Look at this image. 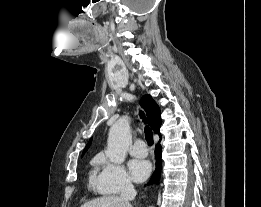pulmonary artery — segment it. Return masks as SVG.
Instances as JSON below:
<instances>
[{
	"label": "pulmonary artery",
	"instance_id": "1",
	"mask_svg": "<svg viewBox=\"0 0 261 207\" xmlns=\"http://www.w3.org/2000/svg\"><path fill=\"white\" fill-rule=\"evenodd\" d=\"M130 154L135 157H145L147 155L145 142L141 139H137L130 148Z\"/></svg>",
	"mask_w": 261,
	"mask_h": 207
}]
</instances>
